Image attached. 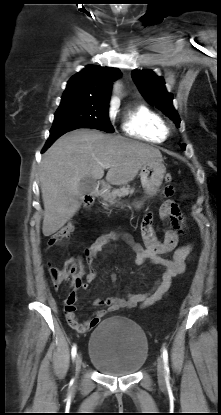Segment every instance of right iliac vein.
Listing matches in <instances>:
<instances>
[{"instance_id":"obj_1","label":"right iliac vein","mask_w":221,"mask_h":415,"mask_svg":"<svg viewBox=\"0 0 221 415\" xmlns=\"http://www.w3.org/2000/svg\"><path fill=\"white\" fill-rule=\"evenodd\" d=\"M81 365H82L81 355L77 354V356L75 358V371H76V374H78L80 372Z\"/></svg>"}]
</instances>
